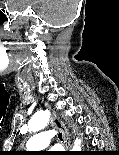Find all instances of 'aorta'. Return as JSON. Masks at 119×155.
Wrapping results in <instances>:
<instances>
[{
    "mask_svg": "<svg viewBox=\"0 0 119 155\" xmlns=\"http://www.w3.org/2000/svg\"><path fill=\"white\" fill-rule=\"evenodd\" d=\"M50 113L48 111H40L33 115L28 122L29 132H38L45 128L49 122ZM73 151H81V139H76L73 146Z\"/></svg>",
    "mask_w": 119,
    "mask_h": 155,
    "instance_id": "1",
    "label": "aorta"
}]
</instances>
